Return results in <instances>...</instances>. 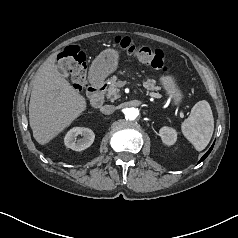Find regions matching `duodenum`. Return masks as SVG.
Masks as SVG:
<instances>
[{
	"mask_svg": "<svg viewBox=\"0 0 238 238\" xmlns=\"http://www.w3.org/2000/svg\"><path fill=\"white\" fill-rule=\"evenodd\" d=\"M105 89L106 84L104 80L96 74H93L91 77V83L87 88L88 99L93 107L99 108L102 106Z\"/></svg>",
	"mask_w": 238,
	"mask_h": 238,
	"instance_id": "duodenum-1",
	"label": "duodenum"
}]
</instances>
